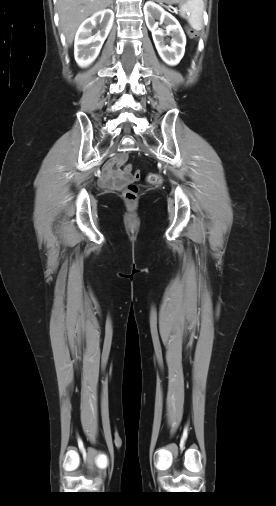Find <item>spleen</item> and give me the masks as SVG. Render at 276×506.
I'll list each match as a JSON object with an SVG mask.
<instances>
[{"instance_id":"spleen-1","label":"spleen","mask_w":276,"mask_h":506,"mask_svg":"<svg viewBox=\"0 0 276 506\" xmlns=\"http://www.w3.org/2000/svg\"><path fill=\"white\" fill-rule=\"evenodd\" d=\"M203 0H186L180 6V15L185 17L187 14V20L191 27L199 31L203 28Z\"/></svg>"}]
</instances>
